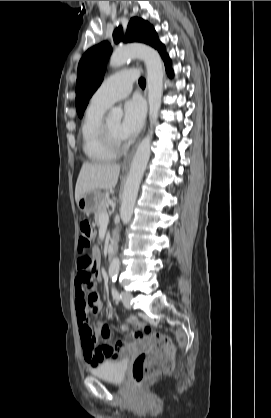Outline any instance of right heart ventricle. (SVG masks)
Wrapping results in <instances>:
<instances>
[{"label":"right heart ventricle","instance_id":"1","mask_svg":"<svg viewBox=\"0 0 271 418\" xmlns=\"http://www.w3.org/2000/svg\"><path fill=\"white\" fill-rule=\"evenodd\" d=\"M107 109V106L91 102L81 125L83 152L92 162H107L116 156V153L105 146L101 138V125Z\"/></svg>","mask_w":271,"mask_h":418}]
</instances>
